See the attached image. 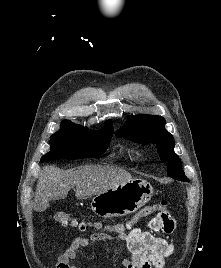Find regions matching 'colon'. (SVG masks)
<instances>
[{
  "mask_svg": "<svg viewBox=\"0 0 221 268\" xmlns=\"http://www.w3.org/2000/svg\"><path fill=\"white\" fill-rule=\"evenodd\" d=\"M163 215V214H169L168 213V203L167 201H161L158 204L154 205H148L141 210H139L137 213H135L127 222L121 223V224H114L110 226H103L100 223L97 222H89L86 220H80L78 218H75L71 216L69 213L65 211H57L54 214L53 220L62 225V226H67L71 225L73 227H77L80 230H86L87 228L94 226L97 228H112L116 230H125L128 231L130 229H133L140 221L143 219L153 215Z\"/></svg>",
  "mask_w": 221,
  "mask_h": 268,
  "instance_id": "5ec220e1",
  "label": "colon"
}]
</instances>
